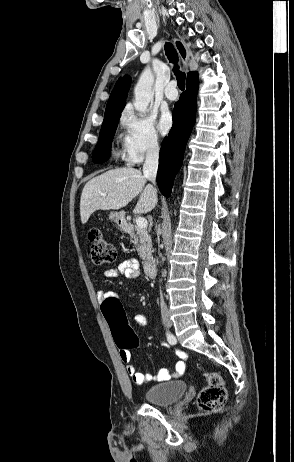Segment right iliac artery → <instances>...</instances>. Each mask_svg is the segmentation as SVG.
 <instances>
[{
	"label": "right iliac artery",
	"mask_w": 294,
	"mask_h": 462,
	"mask_svg": "<svg viewBox=\"0 0 294 462\" xmlns=\"http://www.w3.org/2000/svg\"><path fill=\"white\" fill-rule=\"evenodd\" d=\"M166 335H167V339L169 343L174 345L176 343V338L174 337V335L171 334L170 332H167Z\"/></svg>",
	"instance_id": "82829eb1"
}]
</instances>
